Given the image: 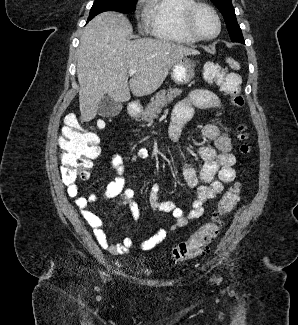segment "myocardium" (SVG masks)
Here are the masks:
<instances>
[{"mask_svg":"<svg viewBox=\"0 0 298 325\" xmlns=\"http://www.w3.org/2000/svg\"><path fill=\"white\" fill-rule=\"evenodd\" d=\"M200 9L206 10L212 16L216 26V30L213 36L207 39L200 37L199 34L195 31V29L192 26V19L196 14V12ZM179 23L183 32L188 36L192 37L198 43H209L214 41L219 36L221 31V26H220L218 16L210 6L204 3H193L189 5L187 8H185L180 15Z\"/></svg>","mask_w":298,"mask_h":325,"instance_id":"obj_1","label":"myocardium"}]
</instances>
